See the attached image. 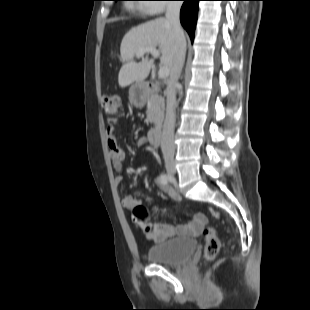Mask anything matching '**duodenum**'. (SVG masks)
Here are the masks:
<instances>
[{
  "label": "duodenum",
  "instance_id": "1",
  "mask_svg": "<svg viewBox=\"0 0 310 310\" xmlns=\"http://www.w3.org/2000/svg\"><path fill=\"white\" fill-rule=\"evenodd\" d=\"M145 88L148 91H154L157 89V85L151 81L145 83ZM162 135L161 126H157L149 131V142L153 146H157L160 143Z\"/></svg>",
  "mask_w": 310,
  "mask_h": 310
}]
</instances>
